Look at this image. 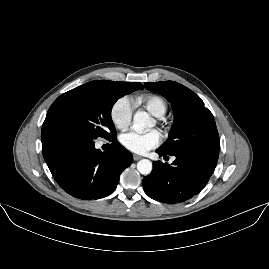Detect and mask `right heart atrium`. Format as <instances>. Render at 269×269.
I'll return each mask as SVG.
<instances>
[{"label":"right heart atrium","instance_id":"right-heart-atrium-1","mask_svg":"<svg viewBox=\"0 0 269 269\" xmlns=\"http://www.w3.org/2000/svg\"><path fill=\"white\" fill-rule=\"evenodd\" d=\"M134 112V101L130 96L118 98L110 108V119L113 125L119 129H125L131 122Z\"/></svg>","mask_w":269,"mask_h":269}]
</instances>
